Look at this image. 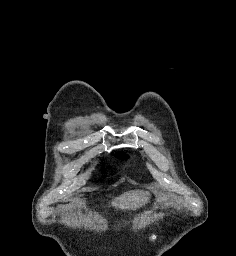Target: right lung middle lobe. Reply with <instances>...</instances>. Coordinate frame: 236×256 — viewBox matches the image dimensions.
Instances as JSON below:
<instances>
[{
  "label": "right lung middle lobe",
  "instance_id": "obj_1",
  "mask_svg": "<svg viewBox=\"0 0 236 256\" xmlns=\"http://www.w3.org/2000/svg\"><path fill=\"white\" fill-rule=\"evenodd\" d=\"M119 157H122V158H127V156L123 155V154H120L118 155Z\"/></svg>",
  "mask_w": 236,
  "mask_h": 256
}]
</instances>
